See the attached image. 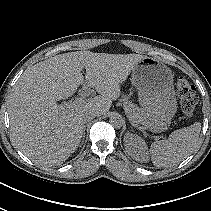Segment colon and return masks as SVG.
<instances>
[{"label":"colon","mask_w":211,"mask_h":211,"mask_svg":"<svg viewBox=\"0 0 211 211\" xmlns=\"http://www.w3.org/2000/svg\"><path fill=\"white\" fill-rule=\"evenodd\" d=\"M176 91L182 112L186 116L192 115L197 105L194 86L186 78L179 77L176 82Z\"/></svg>","instance_id":"5ec220e1"}]
</instances>
